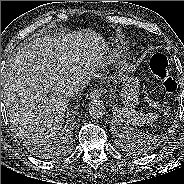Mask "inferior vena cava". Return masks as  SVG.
Masks as SVG:
<instances>
[{
  "instance_id": "602c4592",
  "label": "inferior vena cava",
  "mask_w": 184,
  "mask_h": 184,
  "mask_svg": "<svg viewBox=\"0 0 184 184\" xmlns=\"http://www.w3.org/2000/svg\"><path fill=\"white\" fill-rule=\"evenodd\" d=\"M89 83V77L86 73L75 75L67 87V93L71 96L83 90Z\"/></svg>"
}]
</instances>
